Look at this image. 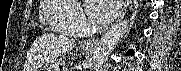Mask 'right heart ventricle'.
Returning a JSON list of instances; mask_svg holds the SVG:
<instances>
[{"label":"right heart ventricle","mask_w":181,"mask_h":71,"mask_svg":"<svg viewBox=\"0 0 181 71\" xmlns=\"http://www.w3.org/2000/svg\"><path fill=\"white\" fill-rule=\"evenodd\" d=\"M40 8L41 19L49 29L70 36L79 34L74 23L78 8L72 1L44 0Z\"/></svg>","instance_id":"1"}]
</instances>
